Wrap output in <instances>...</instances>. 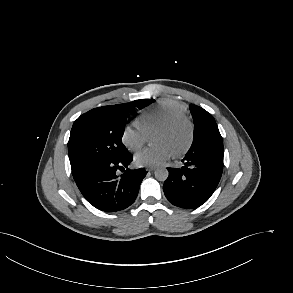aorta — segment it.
Wrapping results in <instances>:
<instances>
[{
    "instance_id": "762f6f07",
    "label": "aorta",
    "mask_w": 293,
    "mask_h": 293,
    "mask_svg": "<svg viewBox=\"0 0 293 293\" xmlns=\"http://www.w3.org/2000/svg\"><path fill=\"white\" fill-rule=\"evenodd\" d=\"M168 175V170L164 167H160L155 170V178L159 181H165L168 178Z\"/></svg>"
}]
</instances>
